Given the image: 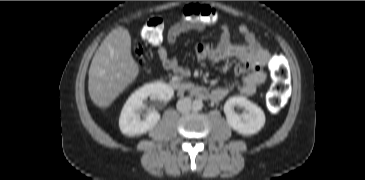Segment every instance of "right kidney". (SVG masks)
I'll return each mask as SVG.
<instances>
[{"instance_id":"1","label":"right kidney","mask_w":365,"mask_h":180,"mask_svg":"<svg viewBox=\"0 0 365 180\" xmlns=\"http://www.w3.org/2000/svg\"><path fill=\"white\" fill-rule=\"evenodd\" d=\"M173 94V88L162 81L145 84L136 90L122 109L119 118L121 132L126 136H136L152 129L160 120V114L154 110L148 113L145 120H141L139 111L143 107V100L151 97L168 101Z\"/></svg>"}]
</instances>
